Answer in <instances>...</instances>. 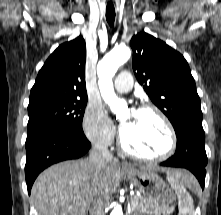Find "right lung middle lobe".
Returning a JSON list of instances; mask_svg holds the SVG:
<instances>
[{"label":"right lung middle lobe","instance_id":"1","mask_svg":"<svg viewBox=\"0 0 221 215\" xmlns=\"http://www.w3.org/2000/svg\"><path fill=\"white\" fill-rule=\"evenodd\" d=\"M87 99L51 100L28 106L27 138L52 130L82 133Z\"/></svg>","mask_w":221,"mask_h":215}]
</instances>
